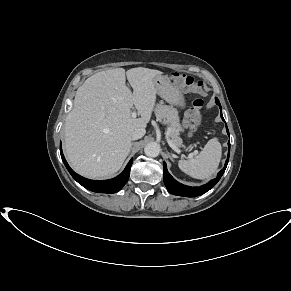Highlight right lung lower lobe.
Segmentation results:
<instances>
[{
	"label": "right lung lower lobe",
	"instance_id": "obj_1",
	"mask_svg": "<svg viewBox=\"0 0 291 291\" xmlns=\"http://www.w3.org/2000/svg\"><path fill=\"white\" fill-rule=\"evenodd\" d=\"M60 153H61V158H62L67 170L72 175V177L79 184H81L83 187H85L86 189H88L90 191L99 192V193H115V192H118L119 190H121L122 187L128 181V178L130 175V168H131L132 161H133L132 159L129 161L126 168L124 169V171L120 175H118L117 177H115L113 179L99 181V180L86 179V178L78 175L77 173H75L69 167L67 161L64 158L61 144H60Z\"/></svg>",
	"mask_w": 291,
	"mask_h": 291
}]
</instances>
